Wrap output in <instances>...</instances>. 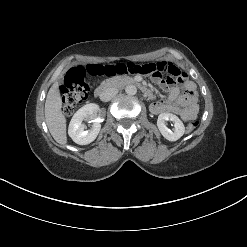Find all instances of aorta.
Returning <instances> with one entry per match:
<instances>
[{"label": "aorta", "mask_w": 247, "mask_h": 247, "mask_svg": "<svg viewBox=\"0 0 247 247\" xmlns=\"http://www.w3.org/2000/svg\"><path fill=\"white\" fill-rule=\"evenodd\" d=\"M125 92L128 95H135L137 93V88L135 85H127L125 88Z\"/></svg>", "instance_id": "762f6f07"}]
</instances>
